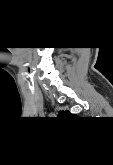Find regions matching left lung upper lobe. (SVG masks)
Segmentation results:
<instances>
[{
  "label": "left lung upper lobe",
  "mask_w": 113,
  "mask_h": 165,
  "mask_svg": "<svg viewBox=\"0 0 113 165\" xmlns=\"http://www.w3.org/2000/svg\"><path fill=\"white\" fill-rule=\"evenodd\" d=\"M63 113H69L68 111H62V112H60V114L59 115H61V114H63Z\"/></svg>",
  "instance_id": "5c2ea615"
}]
</instances>
